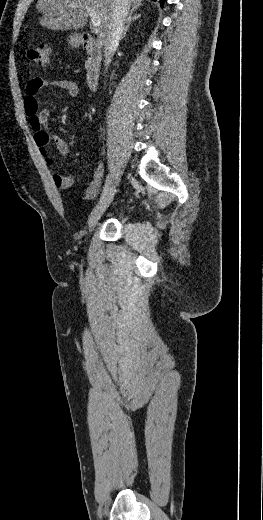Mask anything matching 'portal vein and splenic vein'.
<instances>
[{"label": "portal vein and splenic vein", "mask_w": 263, "mask_h": 520, "mask_svg": "<svg viewBox=\"0 0 263 520\" xmlns=\"http://www.w3.org/2000/svg\"><path fill=\"white\" fill-rule=\"evenodd\" d=\"M74 6H75L74 3L70 4V7H74ZM86 10H87L88 15L91 18V24H92L93 28L95 30H97L99 28L100 24H101V20H100L99 15L91 8H87Z\"/></svg>", "instance_id": "portal-vein-and-splenic-vein-1"}]
</instances>
